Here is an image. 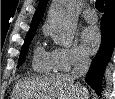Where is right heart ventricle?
Here are the masks:
<instances>
[{
	"label": "right heart ventricle",
	"instance_id": "1",
	"mask_svg": "<svg viewBox=\"0 0 115 99\" xmlns=\"http://www.w3.org/2000/svg\"><path fill=\"white\" fill-rule=\"evenodd\" d=\"M32 67L36 72L47 74L54 70L51 55L43 47L37 46L34 51Z\"/></svg>",
	"mask_w": 115,
	"mask_h": 99
}]
</instances>
